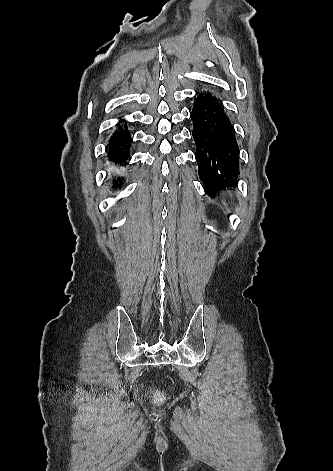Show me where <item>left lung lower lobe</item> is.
<instances>
[{"label": "left lung lower lobe", "instance_id": "obj_1", "mask_svg": "<svg viewBox=\"0 0 333 471\" xmlns=\"http://www.w3.org/2000/svg\"><path fill=\"white\" fill-rule=\"evenodd\" d=\"M194 104L190 117L196 144L195 158L204 190L212 197L216 190L236 183L239 149L234 128L219 99L212 93H201Z\"/></svg>", "mask_w": 333, "mask_h": 471}]
</instances>
